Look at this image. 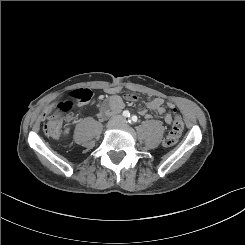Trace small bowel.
<instances>
[{"mask_svg": "<svg viewBox=\"0 0 245 245\" xmlns=\"http://www.w3.org/2000/svg\"><path fill=\"white\" fill-rule=\"evenodd\" d=\"M128 103H134L137 101V96L133 94H125L123 98ZM118 95H112L108 100L104 101L100 106V116L106 117L111 112L119 110L122 108L124 104L123 100ZM147 109H143L140 111V114L146 118L151 117L150 112H155L160 115H164V120L167 124H171L173 119L170 114L166 113L164 100L161 98H154L147 102Z\"/></svg>", "mask_w": 245, "mask_h": 245, "instance_id": "small-bowel-1", "label": "small bowel"}]
</instances>
